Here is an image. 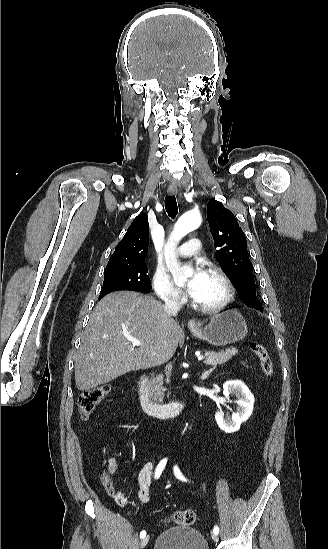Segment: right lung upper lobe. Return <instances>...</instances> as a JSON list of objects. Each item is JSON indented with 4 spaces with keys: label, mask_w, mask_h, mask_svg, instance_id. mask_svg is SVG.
<instances>
[{
    "label": "right lung upper lobe",
    "mask_w": 328,
    "mask_h": 549,
    "mask_svg": "<svg viewBox=\"0 0 328 549\" xmlns=\"http://www.w3.org/2000/svg\"><path fill=\"white\" fill-rule=\"evenodd\" d=\"M148 244V217L146 214H140L134 219L125 236L116 246L105 271L145 261Z\"/></svg>",
    "instance_id": "1"
}]
</instances>
